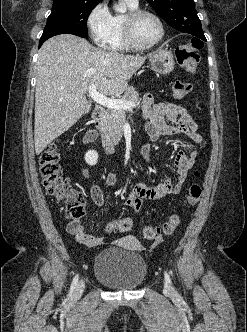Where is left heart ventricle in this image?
<instances>
[{"instance_id": "1", "label": "left heart ventricle", "mask_w": 247, "mask_h": 332, "mask_svg": "<svg viewBox=\"0 0 247 332\" xmlns=\"http://www.w3.org/2000/svg\"><path fill=\"white\" fill-rule=\"evenodd\" d=\"M133 33L137 43L149 45L155 42L161 34L158 22L149 15H143L134 24Z\"/></svg>"}]
</instances>
